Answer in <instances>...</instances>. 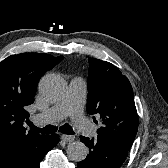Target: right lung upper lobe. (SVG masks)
I'll return each instance as SVG.
<instances>
[{
	"label": "right lung upper lobe",
	"instance_id": "right-lung-upper-lobe-1",
	"mask_svg": "<svg viewBox=\"0 0 168 168\" xmlns=\"http://www.w3.org/2000/svg\"><path fill=\"white\" fill-rule=\"evenodd\" d=\"M63 59L48 54L11 55L0 63V168H16L49 136L26 131L29 114L41 76Z\"/></svg>",
	"mask_w": 168,
	"mask_h": 168
}]
</instances>
